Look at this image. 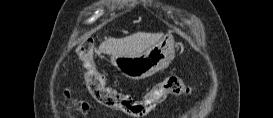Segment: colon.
I'll return each instance as SVG.
<instances>
[{
  "label": "colon",
  "mask_w": 273,
  "mask_h": 118,
  "mask_svg": "<svg viewBox=\"0 0 273 118\" xmlns=\"http://www.w3.org/2000/svg\"><path fill=\"white\" fill-rule=\"evenodd\" d=\"M77 54L83 61L86 85L94 99L131 117H144L169 95L179 96L190 93L181 78L171 76L152 86L141 99H134L105 85L104 77L93 64L92 43L87 41L81 43L77 47Z\"/></svg>",
  "instance_id": "1"
}]
</instances>
